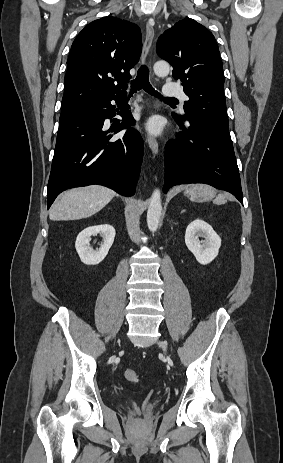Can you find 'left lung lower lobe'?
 <instances>
[{
  "instance_id": "left-lung-lower-lobe-1",
  "label": "left lung lower lobe",
  "mask_w": 283,
  "mask_h": 463,
  "mask_svg": "<svg viewBox=\"0 0 283 463\" xmlns=\"http://www.w3.org/2000/svg\"><path fill=\"white\" fill-rule=\"evenodd\" d=\"M178 142L165 148L164 192L177 184L206 183L228 191L243 204L238 166L229 127L207 119L187 118Z\"/></svg>"
}]
</instances>
